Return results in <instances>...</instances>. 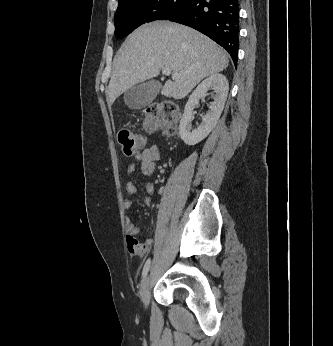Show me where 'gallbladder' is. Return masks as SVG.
<instances>
[{
    "instance_id": "bac80fb5",
    "label": "gallbladder",
    "mask_w": 333,
    "mask_h": 346,
    "mask_svg": "<svg viewBox=\"0 0 333 346\" xmlns=\"http://www.w3.org/2000/svg\"><path fill=\"white\" fill-rule=\"evenodd\" d=\"M161 84L158 81L139 83L124 93V102L128 108L139 110L149 105L158 95Z\"/></svg>"
}]
</instances>
